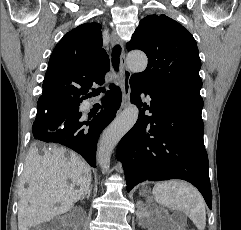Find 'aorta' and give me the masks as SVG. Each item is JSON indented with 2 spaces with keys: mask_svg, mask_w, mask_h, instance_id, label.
<instances>
[{
  "mask_svg": "<svg viewBox=\"0 0 241 230\" xmlns=\"http://www.w3.org/2000/svg\"><path fill=\"white\" fill-rule=\"evenodd\" d=\"M147 63V56L142 52H130L127 56L128 67L134 73L143 72ZM138 115L139 111L135 105L125 108L103 133L97 151L98 163L103 170L109 169L113 149L135 125Z\"/></svg>",
  "mask_w": 241,
  "mask_h": 230,
  "instance_id": "aorta-1",
  "label": "aorta"
}]
</instances>
